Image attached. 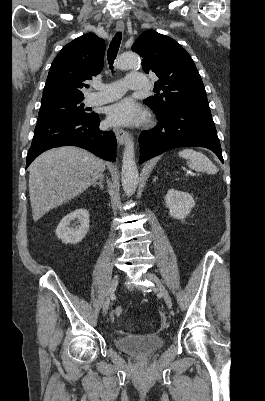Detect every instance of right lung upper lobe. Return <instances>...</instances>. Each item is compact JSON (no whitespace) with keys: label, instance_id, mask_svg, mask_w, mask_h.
<instances>
[{"label":"right lung upper lobe","instance_id":"1","mask_svg":"<svg viewBox=\"0 0 265 401\" xmlns=\"http://www.w3.org/2000/svg\"><path fill=\"white\" fill-rule=\"evenodd\" d=\"M104 53V40L93 33H87L65 45L52 62L41 104L83 98V81L100 73Z\"/></svg>","mask_w":265,"mask_h":401}]
</instances>
